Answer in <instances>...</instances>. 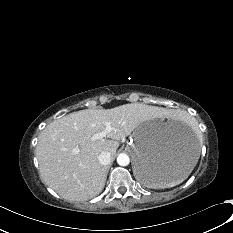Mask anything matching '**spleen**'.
Returning a JSON list of instances; mask_svg holds the SVG:
<instances>
[{"label":"spleen","instance_id":"spleen-1","mask_svg":"<svg viewBox=\"0 0 233 233\" xmlns=\"http://www.w3.org/2000/svg\"><path fill=\"white\" fill-rule=\"evenodd\" d=\"M174 184L168 185V186H162V187H169V186H173Z\"/></svg>","mask_w":233,"mask_h":233}]
</instances>
